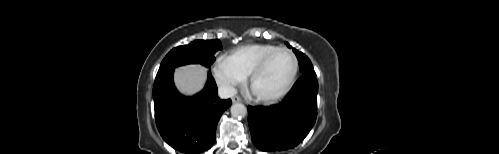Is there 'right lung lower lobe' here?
<instances>
[{
	"instance_id": "obj_1",
	"label": "right lung lower lobe",
	"mask_w": 499,
	"mask_h": 154,
	"mask_svg": "<svg viewBox=\"0 0 499 154\" xmlns=\"http://www.w3.org/2000/svg\"><path fill=\"white\" fill-rule=\"evenodd\" d=\"M173 70L156 76L153 87L155 120L163 139L185 154L209 149L215 141L217 123L231 100L217 96L211 72L205 88L193 97L179 94L173 83Z\"/></svg>"
}]
</instances>
